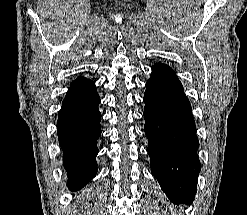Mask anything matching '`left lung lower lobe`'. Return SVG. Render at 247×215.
Listing matches in <instances>:
<instances>
[{
    "instance_id": "left-lung-lower-lobe-1",
    "label": "left lung lower lobe",
    "mask_w": 247,
    "mask_h": 215,
    "mask_svg": "<svg viewBox=\"0 0 247 215\" xmlns=\"http://www.w3.org/2000/svg\"><path fill=\"white\" fill-rule=\"evenodd\" d=\"M144 102L151 173L173 203H191L201 169L199 142L190 102L170 67H152Z\"/></svg>"
}]
</instances>
